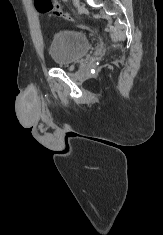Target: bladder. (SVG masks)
I'll list each match as a JSON object with an SVG mask.
<instances>
[{"label": "bladder", "mask_w": 163, "mask_h": 235, "mask_svg": "<svg viewBox=\"0 0 163 235\" xmlns=\"http://www.w3.org/2000/svg\"><path fill=\"white\" fill-rule=\"evenodd\" d=\"M90 36L81 29H62L56 32L50 44V56L60 65H70L92 49Z\"/></svg>", "instance_id": "obj_1"}]
</instances>
